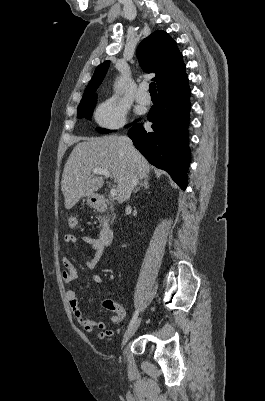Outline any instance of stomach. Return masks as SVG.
<instances>
[{
    "instance_id": "stomach-1",
    "label": "stomach",
    "mask_w": 265,
    "mask_h": 401,
    "mask_svg": "<svg viewBox=\"0 0 265 401\" xmlns=\"http://www.w3.org/2000/svg\"><path fill=\"white\" fill-rule=\"evenodd\" d=\"M94 198H92V196H88L87 198V205H90V207H94V205H96V203H93Z\"/></svg>"
}]
</instances>
